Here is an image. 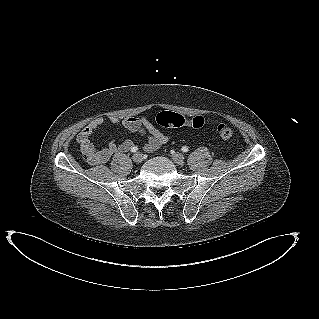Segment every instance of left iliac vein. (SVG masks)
Masks as SVG:
<instances>
[{"instance_id":"4c4485c4","label":"left iliac vein","mask_w":319,"mask_h":319,"mask_svg":"<svg viewBox=\"0 0 319 319\" xmlns=\"http://www.w3.org/2000/svg\"><path fill=\"white\" fill-rule=\"evenodd\" d=\"M184 155L182 153H175L172 155V160L176 163V164H182L184 162Z\"/></svg>"}]
</instances>
